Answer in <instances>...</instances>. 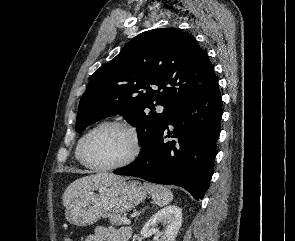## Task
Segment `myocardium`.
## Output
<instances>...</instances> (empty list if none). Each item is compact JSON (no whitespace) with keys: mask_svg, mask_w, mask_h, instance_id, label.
<instances>
[{"mask_svg":"<svg viewBox=\"0 0 295 241\" xmlns=\"http://www.w3.org/2000/svg\"><path fill=\"white\" fill-rule=\"evenodd\" d=\"M111 127H118V128H122V129L126 130L132 138L133 149H132L130 155L125 160H123L119 163L112 164V165L94 164L88 159V156H87V149H88L89 142L91 141V139L93 138V136L97 132H99L103 129H106V128H111ZM141 149H142L141 138H140L139 133L135 129V127H133L131 124L124 122V121H106V122H103V123L97 125L96 127H94L93 129H91L88 132V134L84 138L81 148H80V160L84 166H86L92 170L113 171V170H118V169H121L123 167H126V166L132 164L140 155Z\"/></svg>","mask_w":295,"mask_h":241,"instance_id":"1","label":"myocardium"}]
</instances>
